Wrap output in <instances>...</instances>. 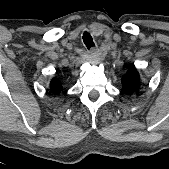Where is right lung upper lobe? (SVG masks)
<instances>
[{"mask_svg": "<svg viewBox=\"0 0 169 169\" xmlns=\"http://www.w3.org/2000/svg\"><path fill=\"white\" fill-rule=\"evenodd\" d=\"M50 89L54 94H58L62 91V84L56 78H53L50 83Z\"/></svg>", "mask_w": 169, "mask_h": 169, "instance_id": "obj_1", "label": "right lung upper lobe"}]
</instances>
